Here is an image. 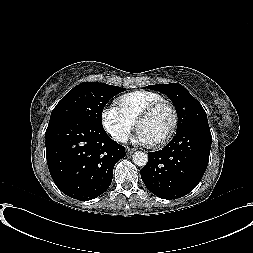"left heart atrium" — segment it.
I'll use <instances>...</instances> for the list:
<instances>
[{
  "instance_id": "39dd6f15",
  "label": "left heart atrium",
  "mask_w": 253,
  "mask_h": 253,
  "mask_svg": "<svg viewBox=\"0 0 253 253\" xmlns=\"http://www.w3.org/2000/svg\"><path fill=\"white\" fill-rule=\"evenodd\" d=\"M134 143L141 144V145H147L151 144L150 140L147 138V136L141 132L140 130L137 131L136 135L132 139Z\"/></svg>"
}]
</instances>
